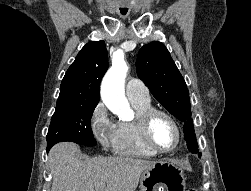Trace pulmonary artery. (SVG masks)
<instances>
[{
  "mask_svg": "<svg viewBox=\"0 0 251 191\" xmlns=\"http://www.w3.org/2000/svg\"><path fill=\"white\" fill-rule=\"evenodd\" d=\"M126 94L130 100L146 98L151 100L143 83L136 79H131L126 83Z\"/></svg>",
  "mask_w": 251,
  "mask_h": 191,
  "instance_id": "pulmonary-artery-1",
  "label": "pulmonary artery"
}]
</instances>
